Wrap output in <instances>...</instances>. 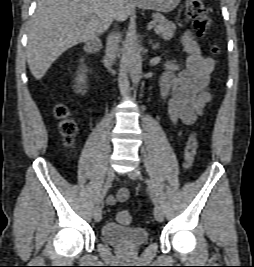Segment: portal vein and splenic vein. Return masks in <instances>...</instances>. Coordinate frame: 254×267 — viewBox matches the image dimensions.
<instances>
[{
    "label": "portal vein and splenic vein",
    "instance_id": "18ae733b",
    "mask_svg": "<svg viewBox=\"0 0 254 267\" xmlns=\"http://www.w3.org/2000/svg\"><path fill=\"white\" fill-rule=\"evenodd\" d=\"M155 24L156 23L154 21L149 22L147 25V29H152L155 26Z\"/></svg>",
    "mask_w": 254,
    "mask_h": 267
}]
</instances>
